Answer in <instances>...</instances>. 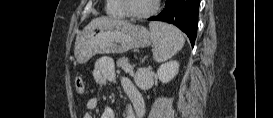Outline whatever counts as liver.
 <instances>
[{
	"mask_svg": "<svg viewBox=\"0 0 273 118\" xmlns=\"http://www.w3.org/2000/svg\"><path fill=\"white\" fill-rule=\"evenodd\" d=\"M112 22H115V20L110 19V18H106V17H100V18H96L94 20H92L83 30L87 31L91 28L97 27V26H103V25H107L110 24Z\"/></svg>",
	"mask_w": 273,
	"mask_h": 118,
	"instance_id": "liver-1",
	"label": "liver"
}]
</instances>
